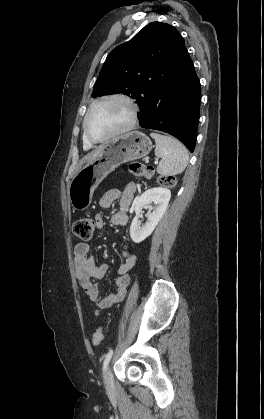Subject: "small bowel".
Segmentation results:
<instances>
[{"label":"small bowel","mask_w":264,"mask_h":419,"mask_svg":"<svg viewBox=\"0 0 264 419\" xmlns=\"http://www.w3.org/2000/svg\"><path fill=\"white\" fill-rule=\"evenodd\" d=\"M135 191V183H128L123 189L115 187L103 194L100 200V205L103 208H108L113 202L119 200V210L110 218L112 225L120 227L127 225L129 220L127 211L132 204ZM95 224L98 229L105 227V220L102 215L97 214L95 216ZM122 256L123 262L117 269L118 277L115 292L100 298L99 281L105 277L109 266L107 264L96 265L90 246L87 243H78L74 248L76 278L87 297L98 308L97 314L120 302L125 297L130 283L129 272L135 266L137 256L129 250L123 251Z\"/></svg>","instance_id":"small-bowel-1"}]
</instances>
